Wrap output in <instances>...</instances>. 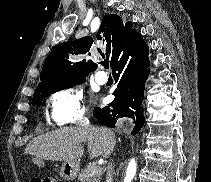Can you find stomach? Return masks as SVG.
Instances as JSON below:
<instances>
[{"label":"stomach","instance_id":"obj_1","mask_svg":"<svg viewBox=\"0 0 211 182\" xmlns=\"http://www.w3.org/2000/svg\"><path fill=\"white\" fill-rule=\"evenodd\" d=\"M79 173V163L77 161L64 162L60 169V176L66 181H73Z\"/></svg>","mask_w":211,"mask_h":182}]
</instances>
